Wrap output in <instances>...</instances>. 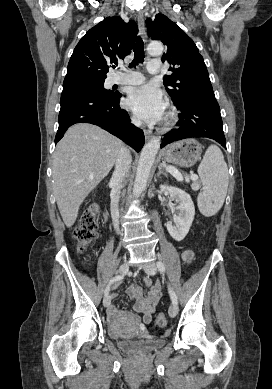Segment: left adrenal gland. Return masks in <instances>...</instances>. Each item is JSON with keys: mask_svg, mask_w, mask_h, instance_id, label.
Listing matches in <instances>:
<instances>
[{"mask_svg": "<svg viewBox=\"0 0 272 389\" xmlns=\"http://www.w3.org/2000/svg\"><path fill=\"white\" fill-rule=\"evenodd\" d=\"M161 174L167 176V173L162 170V167L158 166L157 177H159Z\"/></svg>", "mask_w": 272, "mask_h": 389, "instance_id": "left-adrenal-gland-1", "label": "left adrenal gland"}]
</instances>
